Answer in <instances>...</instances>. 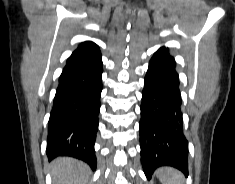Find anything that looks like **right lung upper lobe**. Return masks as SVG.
<instances>
[{
    "mask_svg": "<svg viewBox=\"0 0 235 184\" xmlns=\"http://www.w3.org/2000/svg\"><path fill=\"white\" fill-rule=\"evenodd\" d=\"M99 51V47L90 41H86L84 43H81L78 48L74 51L75 53H80V52H97Z\"/></svg>",
    "mask_w": 235,
    "mask_h": 184,
    "instance_id": "cb5924a9",
    "label": "right lung upper lobe"
}]
</instances>
